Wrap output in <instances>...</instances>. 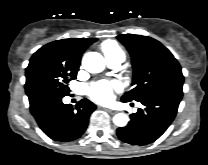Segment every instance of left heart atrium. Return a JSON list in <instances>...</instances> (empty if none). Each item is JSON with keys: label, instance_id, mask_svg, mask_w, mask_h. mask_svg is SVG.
<instances>
[{"label": "left heart atrium", "instance_id": "obj_1", "mask_svg": "<svg viewBox=\"0 0 208 165\" xmlns=\"http://www.w3.org/2000/svg\"><path fill=\"white\" fill-rule=\"evenodd\" d=\"M120 88L116 81L99 80L89 86L88 95L96 102L107 103L112 99L113 91Z\"/></svg>", "mask_w": 208, "mask_h": 165}]
</instances>
